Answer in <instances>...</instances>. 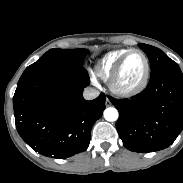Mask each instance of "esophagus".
Here are the masks:
<instances>
[{"label":"esophagus","mask_w":183,"mask_h":183,"mask_svg":"<svg viewBox=\"0 0 183 183\" xmlns=\"http://www.w3.org/2000/svg\"><path fill=\"white\" fill-rule=\"evenodd\" d=\"M105 104L106 106H111V101L109 100V98H106V101H105Z\"/></svg>","instance_id":"esophagus-1"}]
</instances>
